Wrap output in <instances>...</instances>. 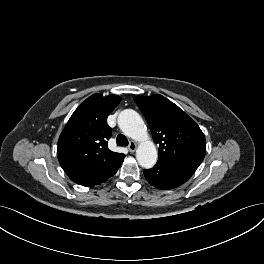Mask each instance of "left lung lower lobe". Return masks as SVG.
<instances>
[{
    "instance_id": "0a47b994",
    "label": "left lung lower lobe",
    "mask_w": 264,
    "mask_h": 264,
    "mask_svg": "<svg viewBox=\"0 0 264 264\" xmlns=\"http://www.w3.org/2000/svg\"><path fill=\"white\" fill-rule=\"evenodd\" d=\"M195 172V169L167 160H159L152 169H144L147 181L159 189H173L185 183Z\"/></svg>"
}]
</instances>
